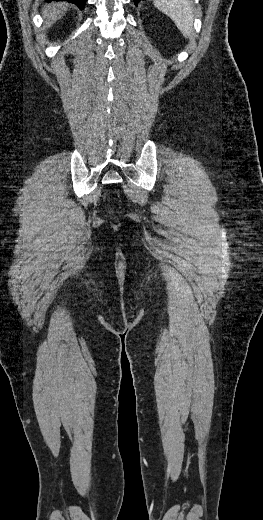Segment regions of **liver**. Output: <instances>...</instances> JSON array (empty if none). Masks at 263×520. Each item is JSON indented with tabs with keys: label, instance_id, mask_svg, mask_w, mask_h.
I'll return each instance as SVG.
<instances>
[{
	"label": "liver",
	"instance_id": "1",
	"mask_svg": "<svg viewBox=\"0 0 263 520\" xmlns=\"http://www.w3.org/2000/svg\"><path fill=\"white\" fill-rule=\"evenodd\" d=\"M69 5L65 2L50 3L42 8V15L45 19L44 28L52 26L67 11Z\"/></svg>",
	"mask_w": 263,
	"mask_h": 520
}]
</instances>
